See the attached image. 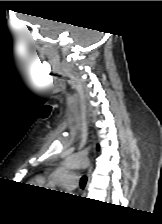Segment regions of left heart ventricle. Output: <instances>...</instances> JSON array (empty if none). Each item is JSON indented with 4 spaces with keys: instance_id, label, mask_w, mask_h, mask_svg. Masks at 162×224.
Here are the masks:
<instances>
[{
    "instance_id": "obj_1",
    "label": "left heart ventricle",
    "mask_w": 162,
    "mask_h": 224,
    "mask_svg": "<svg viewBox=\"0 0 162 224\" xmlns=\"http://www.w3.org/2000/svg\"><path fill=\"white\" fill-rule=\"evenodd\" d=\"M58 186H60V187H64V186H62L60 183H58Z\"/></svg>"
}]
</instances>
